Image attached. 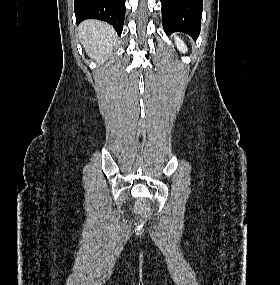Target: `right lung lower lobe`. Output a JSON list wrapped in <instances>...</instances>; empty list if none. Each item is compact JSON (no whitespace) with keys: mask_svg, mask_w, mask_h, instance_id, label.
Returning <instances> with one entry per match:
<instances>
[{"mask_svg":"<svg viewBox=\"0 0 280 285\" xmlns=\"http://www.w3.org/2000/svg\"><path fill=\"white\" fill-rule=\"evenodd\" d=\"M126 0H74L76 22L99 19L113 25L121 35L125 18Z\"/></svg>","mask_w":280,"mask_h":285,"instance_id":"obj_1","label":"right lung lower lobe"}]
</instances>
